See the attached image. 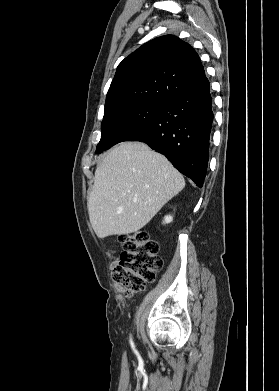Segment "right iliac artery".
I'll return each instance as SVG.
<instances>
[{"instance_id":"right-iliac-artery-1","label":"right iliac artery","mask_w":279,"mask_h":391,"mask_svg":"<svg viewBox=\"0 0 279 391\" xmlns=\"http://www.w3.org/2000/svg\"><path fill=\"white\" fill-rule=\"evenodd\" d=\"M130 343H131L132 348H134V344L132 342V339H130Z\"/></svg>"}]
</instances>
